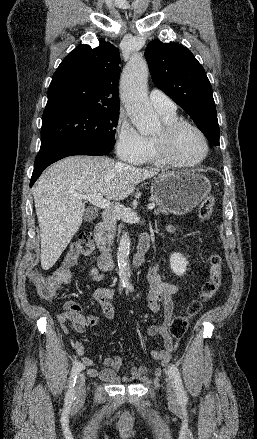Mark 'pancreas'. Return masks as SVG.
Masks as SVG:
<instances>
[{"label": "pancreas", "mask_w": 257, "mask_h": 439, "mask_svg": "<svg viewBox=\"0 0 257 439\" xmlns=\"http://www.w3.org/2000/svg\"><path fill=\"white\" fill-rule=\"evenodd\" d=\"M150 200L155 203V205L157 206V208L154 210V214L155 215H159V214H168V212L170 211L168 206L159 198L152 196L150 198Z\"/></svg>", "instance_id": "cf45deb5"}]
</instances>
